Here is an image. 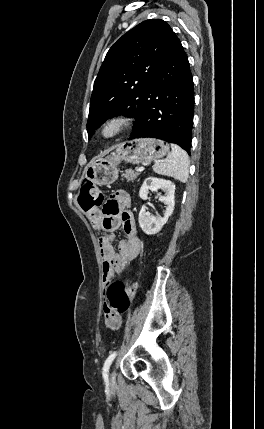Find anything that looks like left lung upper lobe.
Returning a JSON list of instances; mask_svg holds the SVG:
<instances>
[{"label": "left lung upper lobe", "mask_w": 264, "mask_h": 429, "mask_svg": "<svg viewBox=\"0 0 264 429\" xmlns=\"http://www.w3.org/2000/svg\"><path fill=\"white\" fill-rule=\"evenodd\" d=\"M172 32L163 20H146L109 49L91 95L87 121L90 136L112 116L134 117L137 123Z\"/></svg>", "instance_id": "left-lung-upper-lobe-1"}]
</instances>
